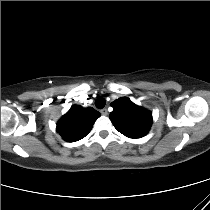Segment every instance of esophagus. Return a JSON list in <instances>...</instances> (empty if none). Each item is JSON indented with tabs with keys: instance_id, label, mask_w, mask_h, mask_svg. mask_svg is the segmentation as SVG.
Returning <instances> with one entry per match:
<instances>
[{
	"instance_id": "esophagus-1",
	"label": "esophagus",
	"mask_w": 210,
	"mask_h": 210,
	"mask_svg": "<svg viewBox=\"0 0 210 210\" xmlns=\"http://www.w3.org/2000/svg\"><path fill=\"white\" fill-rule=\"evenodd\" d=\"M100 113H101L102 115L106 116V115L108 114V111H107L106 108H103V109L100 110Z\"/></svg>"
}]
</instances>
